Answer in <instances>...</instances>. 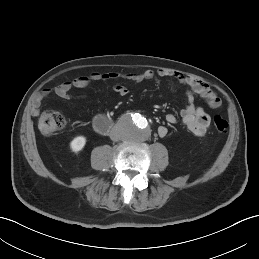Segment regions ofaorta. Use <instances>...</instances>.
I'll use <instances>...</instances> for the list:
<instances>
[{
  "label": "aorta",
  "mask_w": 259,
  "mask_h": 259,
  "mask_svg": "<svg viewBox=\"0 0 259 259\" xmlns=\"http://www.w3.org/2000/svg\"><path fill=\"white\" fill-rule=\"evenodd\" d=\"M121 136L130 142L145 141L150 135L147 119L141 114H128L120 123Z\"/></svg>",
  "instance_id": "aorta-1"
}]
</instances>
